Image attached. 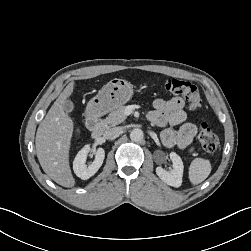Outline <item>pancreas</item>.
<instances>
[{
  "label": "pancreas",
  "instance_id": "cf45deb5",
  "mask_svg": "<svg viewBox=\"0 0 251 251\" xmlns=\"http://www.w3.org/2000/svg\"><path fill=\"white\" fill-rule=\"evenodd\" d=\"M126 106H119L109 113L104 120L106 126H116L122 123L127 117L125 115Z\"/></svg>",
  "mask_w": 251,
  "mask_h": 251
}]
</instances>
